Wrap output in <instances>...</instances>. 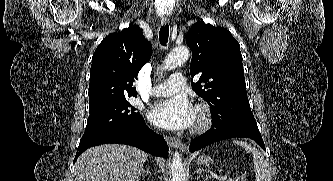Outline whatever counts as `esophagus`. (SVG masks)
Listing matches in <instances>:
<instances>
[{
  "instance_id": "esophagus-1",
  "label": "esophagus",
  "mask_w": 333,
  "mask_h": 181,
  "mask_svg": "<svg viewBox=\"0 0 333 181\" xmlns=\"http://www.w3.org/2000/svg\"><path fill=\"white\" fill-rule=\"evenodd\" d=\"M168 23H169V19L166 17H162L161 24L165 26ZM165 140L169 144V146H171L173 148H180V149L183 148L182 142L180 141V139H178L176 137L166 136Z\"/></svg>"
}]
</instances>
